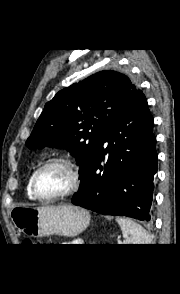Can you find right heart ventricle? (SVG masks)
I'll use <instances>...</instances> for the list:
<instances>
[{"instance_id":"right-heart-ventricle-1","label":"right heart ventricle","mask_w":180,"mask_h":294,"mask_svg":"<svg viewBox=\"0 0 180 294\" xmlns=\"http://www.w3.org/2000/svg\"><path fill=\"white\" fill-rule=\"evenodd\" d=\"M32 176L33 173L31 174V176L28 179L27 185H26V191L28 193V195L33 196L32 190H31V180H32Z\"/></svg>"}]
</instances>
